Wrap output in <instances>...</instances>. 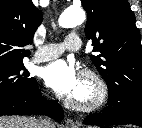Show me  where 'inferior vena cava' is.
<instances>
[{
  "instance_id": "1",
  "label": "inferior vena cava",
  "mask_w": 142,
  "mask_h": 128,
  "mask_svg": "<svg viewBox=\"0 0 142 128\" xmlns=\"http://www.w3.org/2000/svg\"><path fill=\"white\" fill-rule=\"evenodd\" d=\"M54 124L51 122L49 118H42L40 117L37 119V126L36 128H54Z\"/></svg>"
}]
</instances>
